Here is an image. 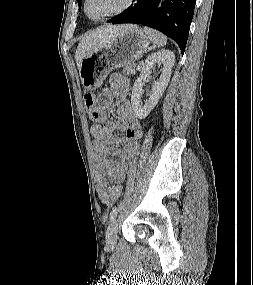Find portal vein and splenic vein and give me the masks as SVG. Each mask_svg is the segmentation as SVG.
I'll return each mask as SVG.
<instances>
[{
  "label": "portal vein and splenic vein",
  "mask_w": 253,
  "mask_h": 285,
  "mask_svg": "<svg viewBox=\"0 0 253 285\" xmlns=\"http://www.w3.org/2000/svg\"><path fill=\"white\" fill-rule=\"evenodd\" d=\"M140 68H141V66H140V65H138V66H137V69L139 70Z\"/></svg>",
  "instance_id": "portal-vein-and-splenic-vein-1"
}]
</instances>
